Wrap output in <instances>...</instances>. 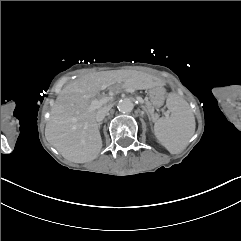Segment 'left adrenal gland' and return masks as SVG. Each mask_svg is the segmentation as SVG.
Segmentation results:
<instances>
[{"label": "left adrenal gland", "instance_id": "1", "mask_svg": "<svg viewBox=\"0 0 241 241\" xmlns=\"http://www.w3.org/2000/svg\"><path fill=\"white\" fill-rule=\"evenodd\" d=\"M148 117H149V120L151 121L152 120V118L150 117V115L148 114Z\"/></svg>", "mask_w": 241, "mask_h": 241}]
</instances>
